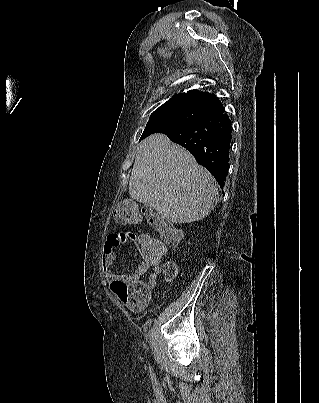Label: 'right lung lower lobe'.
<instances>
[{"label": "right lung lower lobe", "mask_w": 319, "mask_h": 403, "mask_svg": "<svg viewBox=\"0 0 319 403\" xmlns=\"http://www.w3.org/2000/svg\"><path fill=\"white\" fill-rule=\"evenodd\" d=\"M169 139L193 154L224 187L229 168L231 121L227 114H210L186 125L161 129Z\"/></svg>", "instance_id": "obj_1"}]
</instances>
